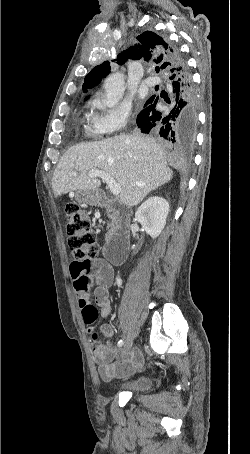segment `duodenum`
<instances>
[{
    "label": "duodenum",
    "mask_w": 250,
    "mask_h": 454,
    "mask_svg": "<svg viewBox=\"0 0 250 454\" xmlns=\"http://www.w3.org/2000/svg\"><path fill=\"white\" fill-rule=\"evenodd\" d=\"M97 203L100 207L109 208L114 219L110 239L104 248L105 257L113 265H122L128 252L130 214L126 208L114 204L104 194L99 195Z\"/></svg>",
    "instance_id": "obj_1"
}]
</instances>
